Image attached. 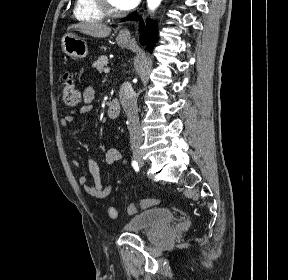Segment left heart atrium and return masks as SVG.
<instances>
[{
    "label": "left heart atrium",
    "mask_w": 288,
    "mask_h": 280,
    "mask_svg": "<svg viewBox=\"0 0 288 280\" xmlns=\"http://www.w3.org/2000/svg\"><path fill=\"white\" fill-rule=\"evenodd\" d=\"M116 5L121 10H128L133 8L139 0H115Z\"/></svg>",
    "instance_id": "obj_1"
}]
</instances>
